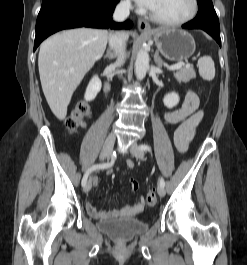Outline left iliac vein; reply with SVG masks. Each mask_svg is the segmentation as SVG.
Segmentation results:
<instances>
[{
	"mask_svg": "<svg viewBox=\"0 0 247 265\" xmlns=\"http://www.w3.org/2000/svg\"><path fill=\"white\" fill-rule=\"evenodd\" d=\"M130 152L137 159H143L144 158V151L141 150L136 143L132 144V146L130 148ZM157 192H158L159 196L163 197L165 195L164 187L159 185L157 188Z\"/></svg>",
	"mask_w": 247,
	"mask_h": 265,
	"instance_id": "obj_1",
	"label": "left iliac vein"
}]
</instances>
